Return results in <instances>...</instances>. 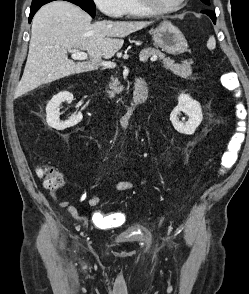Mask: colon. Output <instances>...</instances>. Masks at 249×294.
Instances as JSON below:
<instances>
[{
	"instance_id": "1",
	"label": "colon",
	"mask_w": 249,
	"mask_h": 294,
	"mask_svg": "<svg viewBox=\"0 0 249 294\" xmlns=\"http://www.w3.org/2000/svg\"><path fill=\"white\" fill-rule=\"evenodd\" d=\"M223 87L232 95L233 98L238 99L240 96L239 87L234 81L227 79L226 74L221 76ZM235 114V131L229 143V150L222 156L219 173H225L229 170L236 161L237 151L239 150L243 141V125H244V108L240 102L234 104ZM37 173L43 179L44 185L49 190H58L64 186V178L61 172L51 165H41ZM115 221V220H114Z\"/></svg>"
}]
</instances>
